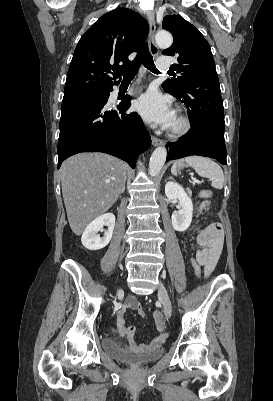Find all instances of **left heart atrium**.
<instances>
[{"label": "left heart atrium", "instance_id": "obj_1", "mask_svg": "<svg viewBox=\"0 0 273 401\" xmlns=\"http://www.w3.org/2000/svg\"><path fill=\"white\" fill-rule=\"evenodd\" d=\"M136 108L143 119L152 125L169 128L176 118L170 101L156 92H149L140 96Z\"/></svg>", "mask_w": 273, "mask_h": 401}]
</instances>
